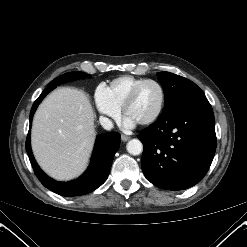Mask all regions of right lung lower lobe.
Instances as JSON below:
<instances>
[{
  "label": "right lung lower lobe",
  "instance_id": "right-lung-lower-lobe-1",
  "mask_svg": "<svg viewBox=\"0 0 247 247\" xmlns=\"http://www.w3.org/2000/svg\"><path fill=\"white\" fill-rule=\"evenodd\" d=\"M56 86H48L34 102L30 112V125L33 114L42 99ZM120 146V134L104 133L97 136L92 159L88 170L78 179L58 182L47 176L36 163L30 145V130L26 140V151L34 172L40 182L49 190L62 196H79L90 193L100 187L107 179L113 157Z\"/></svg>",
  "mask_w": 247,
  "mask_h": 247
}]
</instances>
